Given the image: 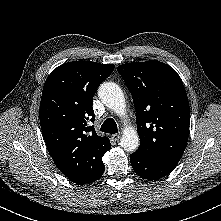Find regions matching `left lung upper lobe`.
Here are the masks:
<instances>
[{"mask_svg": "<svg viewBox=\"0 0 221 221\" xmlns=\"http://www.w3.org/2000/svg\"><path fill=\"white\" fill-rule=\"evenodd\" d=\"M133 97L140 146L134 153L178 164L185 150L190 107L180 76L156 60L117 67Z\"/></svg>", "mask_w": 221, "mask_h": 221, "instance_id": "obj_1", "label": "left lung upper lobe"}]
</instances>
